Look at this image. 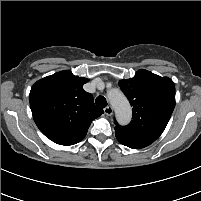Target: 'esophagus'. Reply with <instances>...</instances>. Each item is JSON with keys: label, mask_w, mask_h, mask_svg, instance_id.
Instances as JSON below:
<instances>
[{"label": "esophagus", "mask_w": 201, "mask_h": 201, "mask_svg": "<svg viewBox=\"0 0 201 201\" xmlns=\"http://www.w3.org/2000/svg\"><path fill=\"white\" fill-rule=\"evenodd\" d=\"M104 113L107 115V116H111L113 114V108L111 106H107L105 109H104Z\"/></svg>", "instance_id": "esophagus-1"}]
</instances>
